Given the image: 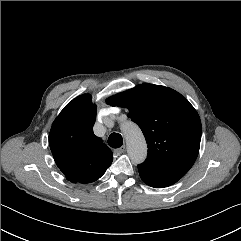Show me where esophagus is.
Returning a JSON list of instances; mask_svg holds the SVG:
<instances>
[{
	"label": "esophagus",
	"mask_w": 241,
	"mask_h": 241,
	"mask_svg": "<svg viewBox=\"0 0 241 241\" xmlns=\"http://www.w3.org/2000/svg\"><path fill=\"white\" fill-rule=\"evenodd\" d=\"M125 151V145H123L122 147L115 149L113 152L115 155H120Z\"/></svg>",
	"instance_id": "esophagus-1"
}]
</instances>
